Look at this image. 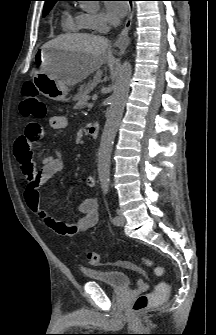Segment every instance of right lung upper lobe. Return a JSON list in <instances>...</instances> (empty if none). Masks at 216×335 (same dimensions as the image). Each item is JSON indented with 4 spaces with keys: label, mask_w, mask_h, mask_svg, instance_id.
<instances>
[{
    "label": "right lung upper lobe",
    "mask_w": 216,
    "mask_h": 335,
    "mask_svg": "<svg viewBox=\"0 0 216 335\" xmlns=\"http://www.w3.org/2000/svg\"><path fill=\"white\" fill-rule=\"evenodd\" d=\"M45 1V6L54 4L58 0H44Z\"/></svg>",
    "instance_id": "cb5924a9"
}]
</instances>
